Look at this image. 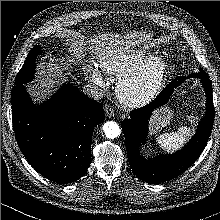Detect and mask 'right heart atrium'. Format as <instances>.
I'll list each match as a JSON object with an SVG mask.
<instances>
[{"label": "right heart atrium", "instance_id": "obj_1", "mask_svg": "<svg viewBox=\"0 0 220 220\" xmlns=\"http://www.w3.org/2000/svg\"><path fill=\"white\" fill-rule=\"evenodd\" d=\"M85 73L92 82L98 85L104 84V74L100 69L87 66L85 68Z\"/></svg>", "mask_w": 220, "mask_h": 220}]
</instances>
